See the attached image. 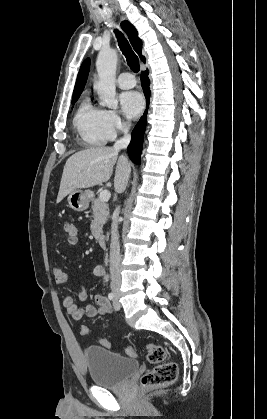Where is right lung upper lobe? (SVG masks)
Returning <instances> with one entry per match:
<instances>
[{
  "instance_id": "right-lung-upper-lobe-1",
  "label": "right lung upper lobe",
  "mask_w": 267,
  "mask_h": 419,
  "mask_svg": "<svg viewBox=\"0 0 267 419\" xmlns=\"http://www.w3.org/2000/svg\"><path fill=\"white\" fill-rule=\"evenodd\" d=\"M121 27L127 34L130 40V43L132 44L136 53L139 55L141 60L145 62V57L142 56V51H141L142 41L138 38V33L135 27L126 20L121 23ZM89 66H90V59L87 58L80 67L76 84H75V88H74V92H73V96H77L82 93L84 86L86 84V81H87V77L89 73Z\"/></svg>"
}]
</instances>
